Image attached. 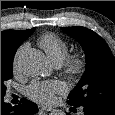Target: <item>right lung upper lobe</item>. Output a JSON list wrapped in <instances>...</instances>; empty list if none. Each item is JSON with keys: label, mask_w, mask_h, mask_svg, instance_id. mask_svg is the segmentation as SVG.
Instances as JSON below:
<instances>
[{"label": "right lung upper lobe", "mask_w": 115, "mask_h": 115, "mask_svg": "<svg viewBox=\"0 0 115 115\" xmlns=\"http://www.w3.org/2000/svg\"><path fill=\"white\" fill-rule=\"evenodd\" d=\"M29 30H5L1 32V59H13L16 50L33 32Z\"/></svg>", "instance_id": "1"}]
</instances>
